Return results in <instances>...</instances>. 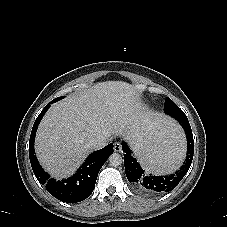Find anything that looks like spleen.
Masks as SVG:
<instances>
[{
	"label": "spleen",
	"instance_id": "spleen-1",
	"mask_svg": "<svg viewBox=\"0 0 227 227\" xmlns=\"http://www.w3.org/2000/svg\"><path fill=\"white\" fill-rule=\"evenodd\" d=\"M132 154L145 170L154 174L170 173L182 163L187 135L172 116L152 115L137 119L131 126Z\"/></svg>",
	"mask_w": 227,
	"mask_h": 227
}]
</instances>
